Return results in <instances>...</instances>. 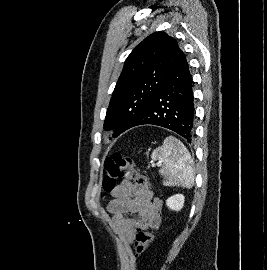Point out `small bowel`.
<instances>
[{
    "mask_svg": "<svg viewBox=\"0 0 267 270\" xmlns=\"http://www.w3.org/2000/svg\"><path fill=\"white\" fill-rule=\"evenodd\" d=\"M107 210L113 215L114 228L125 244H132L141 224L155 229L161 223L160 202L148 187L124 179L112 192Z\"/></svg>",
    "mask_w": 267,
    "mask_h": 270,
    "instance_id": "obj_1",
    "label": "small bowel"
}]
</instances>
